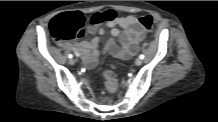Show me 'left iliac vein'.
I'll return each instance as SVG.
<instances>
[{
    "label": "left iliac vein",
    "mask_w": 218,
    "mask_h": 122,
    "mask_svg": "<svg viewBox=\"0 0 218 122\" xmlns=\"http://www.w3.org/2000/svg\"><path fill=\"white\" fill-rule=\"evenodd\" d=\"M135 64L140 66L142 64V60L140 58L136 59Z\"/></svg>",
    "instance_id": "4c4485c4"
}]
</instances>
